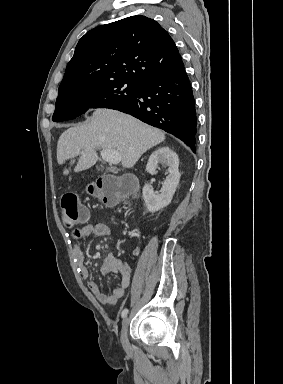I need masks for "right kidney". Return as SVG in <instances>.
Listing matches in <instances>:
<instances>
[{"label":"right kidney","instance_id":"obj_1","mask_svg":"<svg viewBox=\"0 0 283 384\" xmlns=\"http://www.w3.org/2000/svg\"><path fill=\"white\" fill-rule=\"evenodd\" d=\"M158 164L168 166L169 176L164 180L160 194H154V190L149 184H145L143 188V200L152 214L162 210V208H166L170 204L180 180L178 156L168 146L158 148L156 152L151 154L146 166L147 172L149 174H157Z\"/></svg>","mask_w":283,"mask_h":384}]
</instances>
